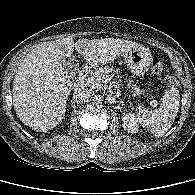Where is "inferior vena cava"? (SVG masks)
<instances>
[{"mask_svg":"<svg viewBox=\"0 0 195 195\" xmlns=\"http://www.w3.org/2000/svg\"><path fill=\"white\" fill-rule=\"evenodd\" d=\"M90 97L91 92L86 88H76L73 92V100L78 104L87 102Z\"/></svg>","mask_w":195,"mask_h":195,"instance_id":"obj_1","label":"inferior vena cava"}]
</instances>
